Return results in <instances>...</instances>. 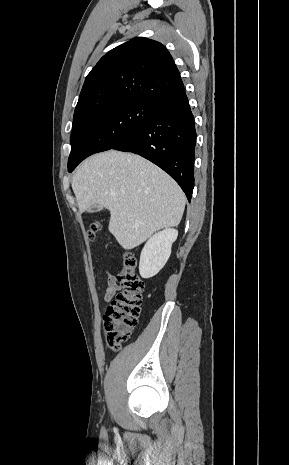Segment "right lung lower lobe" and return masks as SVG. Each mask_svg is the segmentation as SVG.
Returning a JSON list of instances; mask_svg holds the SVG:
<instances>
[{
    "mask_svg": "<svg viewBox=\"0 0 289 465\" xmlns=\"http://www.w3.org/2000/svg\"><path fill=\"white\" fill-rule=\"evenodd\" d=\"M155 104L153 115L112 149L139 154L162 168L180 185L190 202L196 130L188 98L182 90Z\"/></svg>",
    "mask_w": 289,
    "mask_h": 465,
    "instance_id": "1",
    "label": "right lung lower lobe"
}]
</instances>
